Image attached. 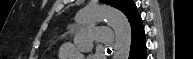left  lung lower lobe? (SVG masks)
Masks as SVG:
<instances>
[{
    "label": "left lung lower lobe",
    "instance_id": "0a47b994",
    "mask_svg": "<svg viewBox=\"0 0 193 59\" xmlns=\"http://www.w3.org/2000/svg\"><path fill=\"white\" fill-rule=\"evenodd\" d=\"M132 28V42L129 59H146V42L142 20L138 12L129 17Z\"/></svg>",
    "mask_w": 193,
    "mask_h": 59
}]
</instances>
